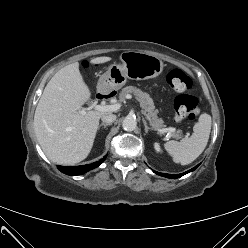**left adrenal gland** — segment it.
Masks as SVG:
<instances>
[{"mask_svg": "<svg viewBox=\"0 0 248 248\" xmlns=\"http://www.w3.org/2000/svg\"><path fill=\"white\" fill-rule=\"evenodd\" d=\"M142 121H143V124H144V127H145V133L147 134L148 131L150 130V128L148 127L147 122H146V120L144 118L142 119Z\"/></svg>", "mask_w": 248, "mask_h": 248, "instance_id": "left-adrenal-gland-1", "label": "left adrenal gland"}]
</instances>
